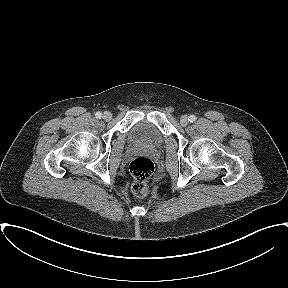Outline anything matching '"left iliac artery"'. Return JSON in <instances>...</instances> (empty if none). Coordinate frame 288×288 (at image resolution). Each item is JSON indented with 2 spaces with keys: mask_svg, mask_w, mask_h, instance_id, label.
Returning <instances> with one entry per match:
<instances>
[{
  "mask_svg": "<svg viewBox=\"0 0 288 288\" xmlns=\"http://www.w3.org/2000/svg\"><path fill=\"white\" fill-rule=\"evenodd\" d=\"M188 120H189L190 122H194V121L196 120V116H195V115H190L189 118H188Z\"/></svg>",
  "mask_w": 288,
  "mask_h": 288,
  "instance_id": "1",
  "label": "left iliac artery"
}]
</instances>
